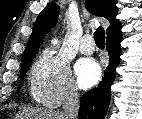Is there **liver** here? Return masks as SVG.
I'll return each mask as SVG.
<instances>
[{"label": "liver", "mask_w": 142, "mask_h": 119, "mask_svg": "<svg viewBox=\"0 0 142 119\" xmlns=\"http://www.w3.org/2000/svg\"><path fill=\"white\" fill-rule=\"evenodd\" d=\"M20 119H64L62 114L44 109H27L20 115Z\"/></svg>", "instance_id": "6515ba94"}]
</instances>
